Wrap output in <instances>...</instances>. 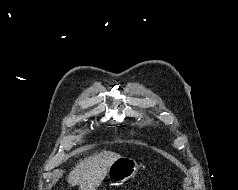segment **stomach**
<instances>
[{"label": "stomach", "instance_id": "obj_1", "mask_svg": "<svg viewBox=\"0 0 238 190\" xmlns=\"http://www.w3.org/2000/svg\"><path fill=\"white\" fill-rule=\"evenodd\" d=\"M138 165L129 157H121L116 160L108 170V178L116 182H124L133 177Z\"/></svg>", "mask_w": 238, "mask_h": 190}]
</instances>
